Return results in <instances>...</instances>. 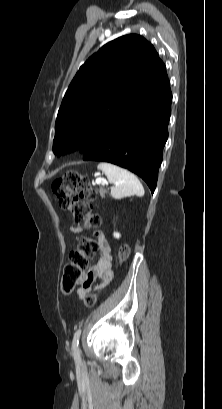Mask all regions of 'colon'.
<instances>
[{"label": "colon", "instance_id": "5ec220e1", "mask_svg": "<svg viewBox=\"0 0 222 409\" xmlns=\"http://www.w3.org/2000/svg\"><path fill=\"white\" fill-rule=\"evenodd\" d=\"M52 191L56 196L59 206L69 211L78 221H83L89 228H97L100 218L91 213L90 203L95 200L97 192L89 179L76 171H68L52 183ZM94 236L85 237L76 250L70 254L61 279V289L65 294L71 293L78 285L80 274L88 266L89 258L98 250V242ZM130 248L123 244L119 247L118 257L120 262L127 260ZM97 300L96 294H88L85 297V305L91 308Z\"/></svg>", "mask_w": 222, "mask_h": 409}]
</instances>
